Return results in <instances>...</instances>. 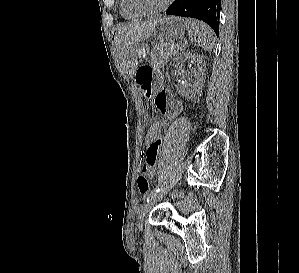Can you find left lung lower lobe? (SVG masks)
<instances>
[{"label":"left lung lower lobe","instance_id":"obj_1","mask_svg":"<svg viewBox=\"0 0 299 273\" xmlns=\"http://www.w3.org/2000/svg\"><path fill=\"white\" fill-rule=\"evenodd\" d=\"M220 6L221 0H175L166 13L203 20L218 36Z\"/></svg>","mask_w":299,"mask_h":273}]
</instances>
